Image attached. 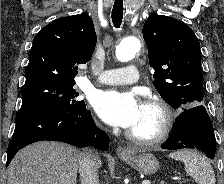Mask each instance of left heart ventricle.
<instances>
[{"instance_id": "b2bd125f", "label": "left heart ventricle", "mask_w": 224, "mask_h": 184, "mask_svg": "<svg viewBox=\"0 0 224 184\" xmlns=\"http://www.w3.org/2000/svg\"><path fill=\"white\" fill-rule=\"evenodd\" d=\"M160 121L161 114L157 109L142 105L139 118L130 131L140 137H151L157 133Z\"/></svg>"}]
</instances>
